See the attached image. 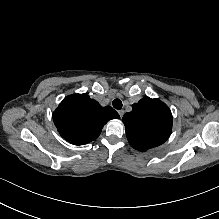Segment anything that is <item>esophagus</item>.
<instances>
[{
	"label": "esophagus",
	"mask_w": 219,
	"mask_h": 219,
	"mask_svg": "<svg viewBox=\"0 0 219 219\" xmlns=\"http://www.w3.org/2000/svg\"><path fill=\"white\" fill-rule=\"evenodd\" d=\"M118 113H119L120 117L122 118L124 115V110H119Z\"/></svg>",
	"instance_id": "1"
}]
</instances>
